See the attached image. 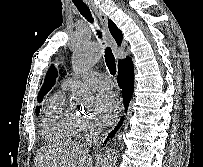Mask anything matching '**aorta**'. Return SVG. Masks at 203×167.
<instances>
[{
	"label": "aorta",
	"mask_w": 203,
	"mask_h": 167,
	"mask_svg": "<svg viewBox=\"0 0 203 167\" xmlns=\"http://www.w3.org/2000/svg\"><path fill=\"white\" fill-rule=\"evenodd\" d=\"M102 49L95 42H81L73 53L72 65L76 72H82L90 69L101 58ZM74 99L80 104H88L92 101L90 90L81 83H76L72 89ZM117 151L115 148H109L104 156L101 167H115Z\"/></svg>",
	"instance_id": "aorta-1"
}]
</instances>
